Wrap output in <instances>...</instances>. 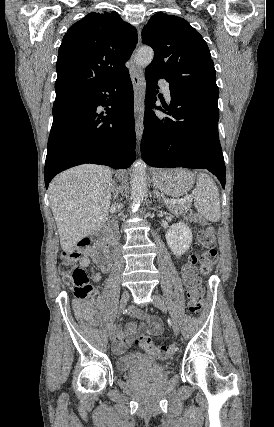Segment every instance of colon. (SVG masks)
I'll use <instances>...</instances> for the list:
<instances>
[{
    "instance_id": "obj_1",
    "label": "colon",
    "mask_w": 274,
    "mask_h": 427,
    "mask_svg": "<svg viewBox=\"0 0 274 427\" xmlns=\"http://www.w3.org/2000/svg\"><path fill=\"white\" fill-rule=\"evenodd\" d=\"M199 222L201 219L194 217ZM199 242L202 248H216L215 225L212 222L204 221L200 226ZM78 245L81 248H88L91 245V238L88 235H81L78 238ZM201 254L198 256V261ZM81 253L74 249L67 252L61 264V271L68 278V284L71 285L74 296L79 300H86L91 297L93 286L89 282L86 270L77 265ZM197 263L195 260L184 264L181 275L188 295V310L191 313H198L202 302H205L206 295L201 283V276H198ZM139 347L145 352L151 354L157 359H169L177 351L175 344L156 345L149 338L141 337L138 343Z\"/></svg>"
}]
</instances>
